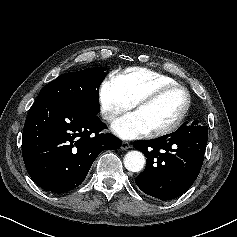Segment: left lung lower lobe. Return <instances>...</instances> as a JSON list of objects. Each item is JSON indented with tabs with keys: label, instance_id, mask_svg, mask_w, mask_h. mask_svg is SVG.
Segmentation results:
<instances>
[{
	"label": "left lung lower lobe",
	"instance_id": "left-lung-lower-lobe-1",
	"mask_svg": "<svg viewBox=\"0 0 237 237\" xmlns=\"http://www.w3.org/2000/svg\"><path fill=\"white\" fill-rule=\"evenodd\" d=\"M208 127L197 120L184 122L175 132L137 141L135 149L147 157L145 170L135 182L147 195L170 200L186 192L203 164Z\"/></svg>",
	"mask_w": 237,
	"mask_h": 237
}]
</instances>
